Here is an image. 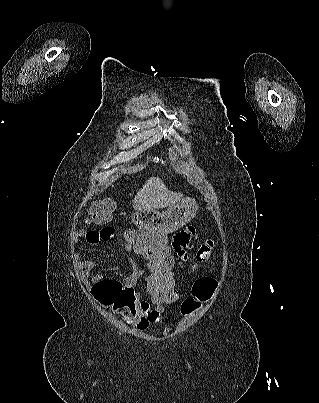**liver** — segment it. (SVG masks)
<instances>
[{"instance_id":"obj_1","label":"liver","mask_w":319,"mask_h":403,"mask_svg":"<svg viewBox=\"0 0 319 403\" xmlns=\"http://www.w3.org/2000/svg\"><path fill=\"white\" fill-rule=\"evenodd\" d=\"M182 197V193L168 190L159 177H151L137 192L133 201V207L135 210L170 207L182 201Z\"/></svg>"}]
</instances>
